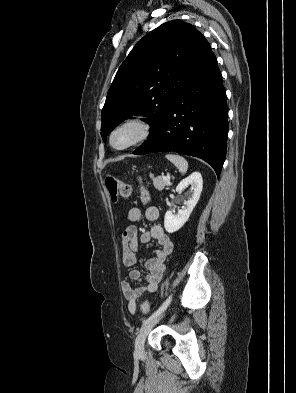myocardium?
<instances>
[{
	"label": "myocardium",
	"mask_w": 296,
	"mask_h": 393,
	"mask_svg": "<svg viewBox=\"0 0 296 393\" xmlns=\"http://www.w3.org/2000/svg\"><path fill=\"white\" fill-rule=\"evenodd\" d=\"M128 126H131V127H134L137 129L136 136L128 144H126L122 147L114 146V144L112 142L114 134L118 130H120L124 127H128ZM152 130H153L152 123L147 116L141 115V114H135V115L128 116V117L124 118L123 120H121L120 122H118L111 129L109 136H108L109 145L117 151L127 150V149L147 140L150 137V135L152 134Z\"/></svg>",
	"instance_id": "1"
}]
</instances>
